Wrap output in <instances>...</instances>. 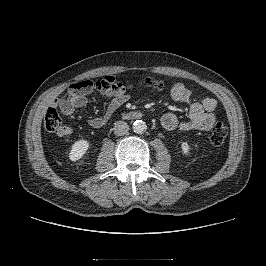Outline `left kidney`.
<instances>
[{
    "label": "left kidney",
    "instance_id": "left-kidney-1",
    "mask_svg": "<svg viewBox=\"0 0 266 266\" xmlns=\"http://www.w3.org/2000/svg\"><path fill=\"white\" fill-rule=\"evenodd\" d=\"M181 149L184 154H187L189 152V145L187 142H182Z\"/></svg>",
    "mask_w": 266,
    "mask_h": 266
}]
</instances>
